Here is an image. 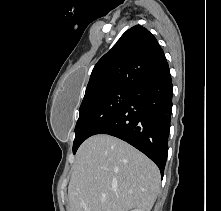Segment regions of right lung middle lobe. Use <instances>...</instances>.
Listing matches in <instances>:
<instances>
[{"instance_id":"right-lung-middle-lobe-1","label":"right lung middle lobe","mask_w":221,"mask_h":211,"mask_svg":"<svg viewBox=\"0 0 221 211\" xmlns=\"http://www.w3.org/2000/svg\"><path fill=\"white\" fill-rule=\"evenodd\" d=\"M132 88H118L83 100L75 127L73 153L80 144L111 120L124 106Z\"/></svg>"}]
</instances>
